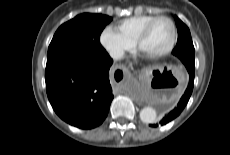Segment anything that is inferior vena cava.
Returning <instances> with one entry per match:
<instances>
[{
  "label": "inferior vena cava",
  "instance_id": "1",
  "mask_svg": "<svg viewBox=\"0 0 230 155\" xmlns=\"http://www.w3.org/2000/svg\"><path fill=\"white\" fill-rule=\"evenodd\" d=\"M123 55H124V52L121 49H115V50L110 51L111 58L116 59V60L122 58Z\"/></svg>",
  "mask_w": 230,
  "mask_h": 155
}]
</instances>
